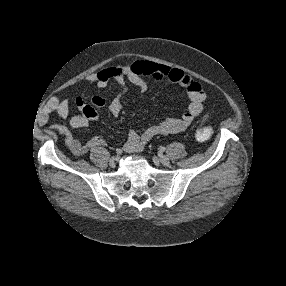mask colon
Masks as SVG:
<instances>
[{
    "instance_id": "colon-1",
    "label": "colon",
    "mask_w": 286,
    "mask_h": 286,
    "mask_svg": "<svg viewBox=\"0 0 286 286\" xmlns=\"http://www.w3.org/2000/svg\"><path fill=\"white\" fill-rule=\"evenodd\" d=\"M213 134V129L210 126H206L203 123L196 129L195 137L199 141L209 139Z\"/></svg>"
}]
</instances>
